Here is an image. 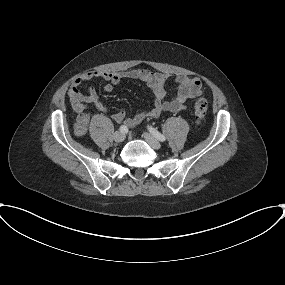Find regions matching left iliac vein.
<instances>
[{
    "label": "left iliac vein",
    "mask_w": 285,
    "mask_h": 285,
    "mask_svg": "<svg viewBox=\"0 0 285 285\" xmlns=\"http://www.w3.org/2000/svg\"><path fill=\"white\" fill-rule=\"evenodd\" d=\"M144 138L147 143L154 149H160L161 143L149 133H144Z\"/></svg>",
    "instance_id": "4c4485c4"
}]
</instances>
